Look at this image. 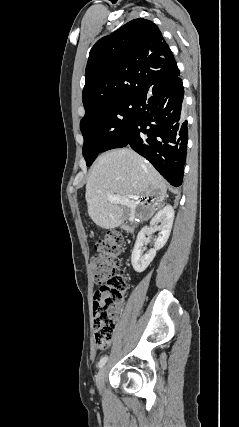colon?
<instances>
[{"label": "colon", "mask_w": 239, "mask_h": 427, "mask_svg": "<svg viewBox=\"0 0 239 427\" xmlns=\"http://www.w3.org/2000/svg\"><path fill=\"white\" fill-rule=\"evenodd\" d=\"M123 243L122 232L107 233L97 243V254L91 260L92 275L99 285L93 301L94 337L101 350L107 349L113 340L120 307L128 290L121 266Z\"/></svg>", "instance_id": "obj_1"}]
</instances>
